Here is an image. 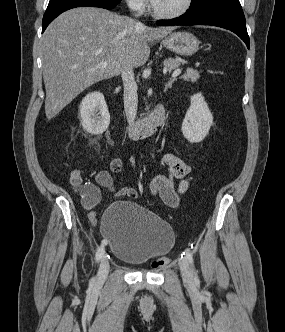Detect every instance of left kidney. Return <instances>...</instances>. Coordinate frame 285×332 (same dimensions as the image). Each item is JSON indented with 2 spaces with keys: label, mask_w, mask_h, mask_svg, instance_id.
<instances>
[{
  "label": "left kidney",
  "mask_w": 285,
  "mask_h": 332,
  "mask_svg": "<svg viewBox=\"0 0 285 332\" xmlns=\"http://www.w3.org/2000/svg\"><path fill=\"white\" fill-rule=\"evenodd\" d=\"M191 105L182 122L183 136L191 143L201 142L213 124V115L201 93L191 96Z\"/></svg>",
  "instance_id": "5707ae66"
}]
</instances>
